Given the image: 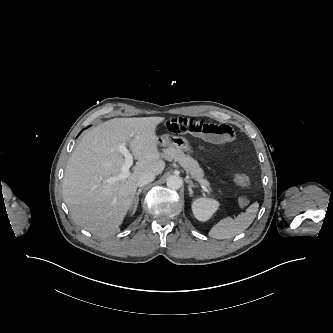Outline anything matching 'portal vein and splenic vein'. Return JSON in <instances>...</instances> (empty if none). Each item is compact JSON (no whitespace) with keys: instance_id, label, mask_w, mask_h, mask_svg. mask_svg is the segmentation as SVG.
Returning <instances> with one entry per match:
<instances>
[{"instance_id":"18ae733b","label":"portal vein and splenic vein","mask_w":333,"mask_h":333,"mask_svg":"<svg viewBox=\"0 0 333 333\" xmlns=\"http://www.w3.org/2000/svg\"><path fill=\"white\" fill-rule=\"evenodd\" d=\"M119 152L125 157L124 164L122 165L121 173L118 176L109 177L105 180L106 183H113L118 180H125L130 175V167L133 164V156L126 148L125 143L118 145Z\"/></svg>"}]
</instances>
